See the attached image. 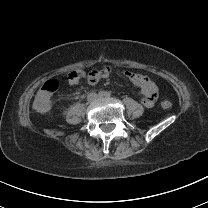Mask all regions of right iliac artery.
Here are the masks:
<instances>
[{"mask_svg": "<svg viewBox=\"0 0 208 208\" xmlns=\"http://www.w3.org/2000/svg\"><path fill=\"white\" fill-rule=\"evenodd\" d=\"M99 96H101V97L105 96V92L104 91H100L99 92Z\"/></svg>", "mask_w": 208, "mask_h": 208, "instance_id": "1", "label": "right iliac artery"}]
</instances>
